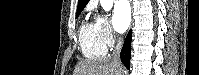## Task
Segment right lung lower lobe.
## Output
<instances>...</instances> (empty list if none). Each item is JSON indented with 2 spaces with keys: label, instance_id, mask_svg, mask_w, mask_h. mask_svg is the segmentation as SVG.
Instances as JSON below:
<instances>
[{
  "label": "right lung lower lobe",
  "instance_id": "right-lung-lower-lobe-1",
  "mask_svg": "<svg viewBox=\"0 0 199 75\" xmlns=\"http://www.w3.org/2000/svg\"><path fill=\"white\" fill-rule=\"evenodd\" d=\"M131 37H132V31L130 30L129 34L126 36L123 48L121 50V61L127 69H129L130 67Z\"/></svg>",
  "mask_w": 199,
  "mask_h": 75
}]
</instances>
